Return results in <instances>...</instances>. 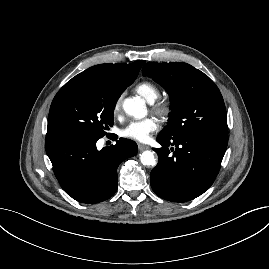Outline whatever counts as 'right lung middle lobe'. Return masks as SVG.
<instances>
[{
    "mask_svg": "<svg viewBox=\"0 0 269 269\" xmlns=\"http://www.w3.org/2000/svg\"><path fill=\"white\" fill-rule=\"evenodd\" d=\"M125 89L108 83L65 84L52 101L46 139L103 137L114 124V108Z\"/></svg>",
    "mask_w": 269,
    "mask_h": 269,
    "instance_id": "obj_1",
    "label": "right lung middle lobe"
}]
</instances>
